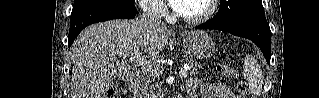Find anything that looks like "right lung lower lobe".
<instances>
[{
    "instance_id": "1",
    "label": "right lung lower lobe",
    "mask_w": 319,
    "mask_h": 98,
    "mask_svg": "<svg viewBox=\"0 0 319 98\" xmlns=\"http://www.w3.org/2000/svg\"><path fill=\"white\" fill-rule=\"evenodd\" d=\"M136 16L134 5L115 1H93L73 6L70 18L68 46L86 26L111 19H132Z\"/></svg>"
}]
</instances>
